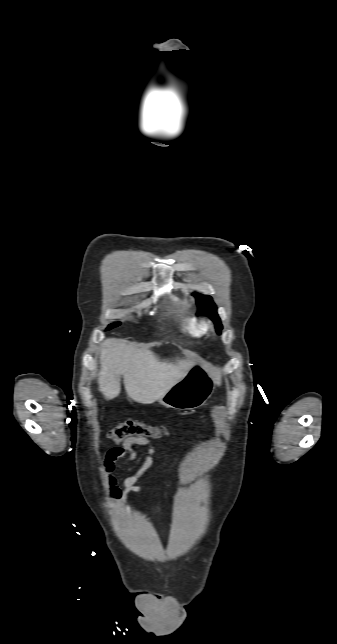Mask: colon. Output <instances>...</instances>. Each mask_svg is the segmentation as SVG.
Listing matches in <instances>:
<instances>
[{
    "mask_svg": "<svg viewBox=\"0 0 337 644\" xmlns=\"http://www.w3.org/2000/svg\"><path fill=\"white\" fill-rule=\"evenodd\" d=\"M162 430L159 427L151 426L137 421H125L116 425L110 431V438L115 443H120L128 438H157L161 436Z\"/></svg>",
    "mask_w": 337,
    "mask_h": 644,
    "instance_id": "1",
    "label": "colon"
}]
</instances>
